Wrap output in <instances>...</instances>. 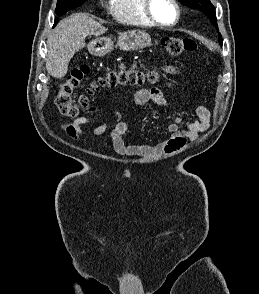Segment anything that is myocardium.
Here are the masks:
<instances>
[{
  "instance_id": "f54148a6",
  "label": "myocardium",
  "mask_w": 259,
  "mask_h": 294,
  "mask_svg": "<svg viewBox=\"0 0 259 294\" xmlns=\"http://www.w3.org/2000/svg\"><path fill=\"white\" fill-rule=\"evenodd\" d=\"M173 4L176 12V17L172 23H163L159 21L152 12V2L153 0H143V12L146 18L155 26L162 27V28H169L175 26L181 17V10L177 0H170Z\"/></svg>"
}]
</instances>
